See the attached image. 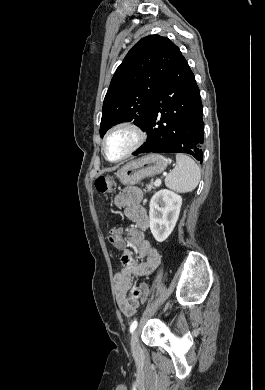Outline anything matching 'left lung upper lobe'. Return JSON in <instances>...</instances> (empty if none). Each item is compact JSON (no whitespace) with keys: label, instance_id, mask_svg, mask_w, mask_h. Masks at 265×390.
I'll return each instance as SVG.
<instances>
[{"label":"left lung upper lobe","instance_id":"obj_1","mask_svg":"<svg viewBox=\"0 0 265 390\" xmlns=\"http://www.w3.org/2000/svg\"><path fill=\"white\" fill-rule=\"evenodd\" d=\"M182 56L168 38L149 35L127 53L117 68L103 103L100 136L119 122L135 119L144 129L152 101Z\"/></svg>","mask_w":265,"mask_h":390}]
</instances>
